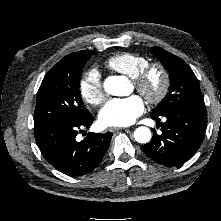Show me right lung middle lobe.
I'll use <instances>...</instances> for the list:
<instances>
[{"label": "right lung middle lobe", "mask_w": 221, "mask_h": 221, "mask_svg": "<svg viewBox=\"0 0 221 221\" xmlns=\"http://www.w3.org/2000/svg\"><path fill=\"white\" fill-rule=\"evenodd\" d=\"M95 51L66 56L45 75L37 93L34 129L59 122L79 121L90 112L79 91L82 69Z\"/></svg>", "instance_id": "1"}]
</instances>
